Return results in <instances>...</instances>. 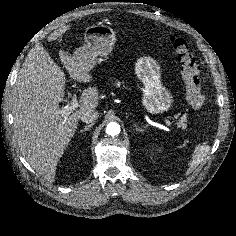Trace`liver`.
I'll use <instances>...</instances> for the list:
<instances>
[{"mask_svg": "<svg viewBox=\"0 0 236 236\" xmlns=\"http://www.w3.org/2000/svg\"><path fill=\"white\" fill-rule=\"evenodd\" d=\"M68 28L55 30L48 40H56ZM60 58L71 78L88 83L90 70L64 51ZM64 72L37 43L28 53L15 84L12 114L14 136L29 165L46 181L55 180L56 166L74 136L83 111L98 106V90L85 89L79 99V109L69 115L61 113L59 104L65 96Z\"/></svg>", "mask_w": 236, "mask_h": 236, "instance_id": "obj_1", "label": "liver"}]
</instances>
